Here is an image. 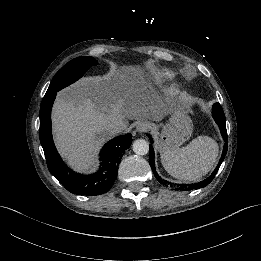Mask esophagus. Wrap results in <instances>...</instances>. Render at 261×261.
<instances>
[{"label":"esophagus","instance_id":"obj_1","mask_svg":"<svg viewBox=\"0 0 261 261\" xmlns=\"http://www.w3.org/2000/svg\"><path fill=\"white\" fill-rule=\"evenodd\" d=\"M151 127V123L148 122V121H144V122H140L137 124L136 126V130L139 132V133H143V132H146L150 129Z\"/></svg>","mask_w":261,"mask_h":261}]
</instances>
